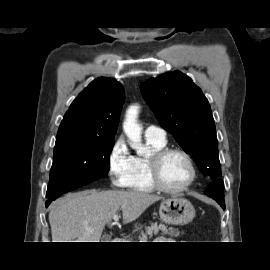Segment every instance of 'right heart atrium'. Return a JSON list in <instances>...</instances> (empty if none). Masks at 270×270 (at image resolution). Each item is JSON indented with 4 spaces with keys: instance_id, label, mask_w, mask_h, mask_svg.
<instances>
[{
    "instance_id": "right-heart-atrium-1",
    "label": "right heart atrium",
    "mask_w": 270,
    "mask_h": 270,
    "mask_svg": "<svg viewBox=\"0 0 270 270\" xmlns=\"http://www.w3.org/2000/svg\"><path fill=\"white\" fill-rule=\"evenodd\" d=\"M107 167L108 175L115 187H129L133 171V156L123 138H118L111 146Z\"/></svg>"
}]
</instances>
